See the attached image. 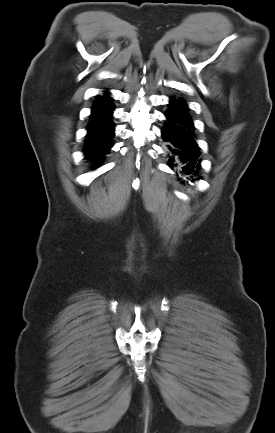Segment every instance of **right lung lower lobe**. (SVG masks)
Here are the masks:
<instances>
[{"label": "right lung lower lobe", "mask_w": 275, "mask_h": 433, "mask_svg": "<svg viewBox=\"0 0 275 433\" xmlns=\"http://www.w3.org/2000/svg\"><path fill=\"white\" fill-rule=\"evenodd\" d=\"M114 106L110 96H98L92 108L90 122L87 127V139L84 154L98 165L105 154L113 146L114 125L112 124V112Z\"/></svg>", "instance_id": "obj_1"}]
</instances>
